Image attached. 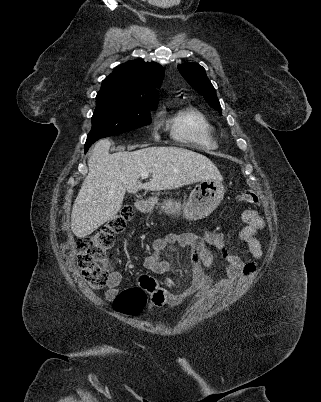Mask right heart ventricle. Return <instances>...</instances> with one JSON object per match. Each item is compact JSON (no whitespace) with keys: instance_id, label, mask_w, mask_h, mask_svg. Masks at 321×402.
I'll use <instances>...</instances> for the list:
<instances>
[{"instance_id":"1","label":"right heart ventricle","mask_w":321,"mask_h":402,"mask_svg":"<svg viewBox=\"0 0 321 402\" xmlns=\"http://www.w3.org/2000/svg\"><path fill=\"white\" fill-rule=\"evenodd\" d=\"M171 137L202 149H215V129L206 115L194 106H186L164 119Z\"/></svg>"}]
</instances>
